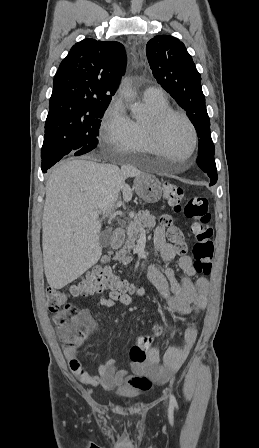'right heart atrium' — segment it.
Returning a JSON list of instances; mask_svg holds the SVG:
<instances>
[{
    "label": "right heart atrium",
    "instance_id": "1",
    "mask_svg": "<svg viewBox=\"0 0 259 448\" xmlns=\"http://www.w3.org/2000/svg\"><path fill=\"white\" fill-rule=\"evenodd\" d=\"M122 102L118 96L109 104L98 130L100 147L118 157H125L130 150V131L124 117Z\"/></svg>",
    "mask_w": 259,
    "mask_h": 448
}]
</instances>
